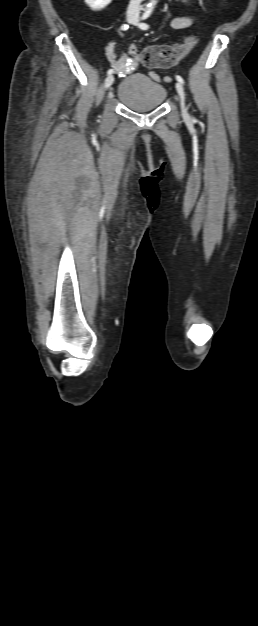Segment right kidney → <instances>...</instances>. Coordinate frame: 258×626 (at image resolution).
<instances>
[{"label":"right kidney","mask_w":258,"mask_h":626,"mask_svg":"<svg viewBox=\"0 0 258 626\" xmlns=\"http://www.w3.org/2000/svg\"><path fill=\"white\" fill-rule=\"evenodd\" d=\"M84 1L93 11H100L112 2V0H84Z\"/></svg>","instance_id":"right-kidney-1"}]
</instances>
